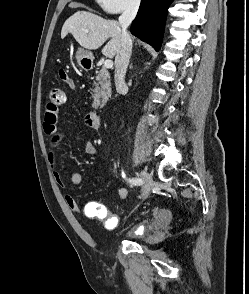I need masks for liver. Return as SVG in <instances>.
<instances>
[{
	"instance_id": "6515ba94",
	"label": "liver",
	"mask_w": 249,
	"mask_h": 294,
	"mask_svg": "<svg viewBox=\"0 0 249 294\" xmlns=\"http://www.w3.org/2000/svg\"><path fill=\"white\" fill-rule=\"evenodd\" d=\"M71 33L75 40L86 49H98L110 38L103 47V55L113 58L121 49L122 29L114 20L104 19L88 11H78L69 17L61 30V38Z\"/></svg>"
}]
</instances>
